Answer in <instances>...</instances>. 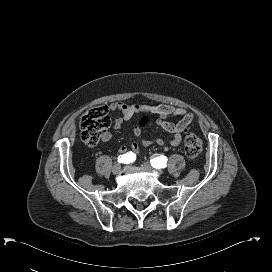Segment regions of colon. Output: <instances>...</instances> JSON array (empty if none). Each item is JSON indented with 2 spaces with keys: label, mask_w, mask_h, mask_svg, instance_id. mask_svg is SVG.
I'll return each instance as SVG.
<instances>
[{
  "label": "colon",
  "mask_w": 272,
  "mask_h": 272,
  "mask_svg": "<svg viewBox=\"0 0 272 272\" xmlns=\"http://www.w3.org/2000/svg\"><path fill=\"white\" fill-rule=\"evenodd\" d=\"M107 106H96L84 113L79 121V131L83 142L96 145L102 134L110 126ZM201 140L194 133H190L184 140V151L188 159L194 161L201 153Z\"/></svg>",
  "instance_id": "1"
}]
</instances>
